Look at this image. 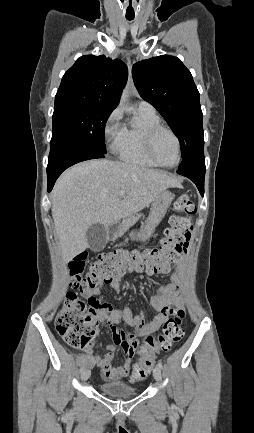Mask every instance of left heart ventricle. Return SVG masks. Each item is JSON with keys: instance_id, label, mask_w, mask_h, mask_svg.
<instances>
[{"instance_id": "1", "label": "left heart ventricle", "mask_w": 254, "mask_h": 433, "mask_svg": "<svg viewBox=\"0 0 254 433\" xmlns=\"http://www.w3.org/2000/svg\"><path fill=\"white\" fill-rule=\"evenodd\" d=\"M154 152L161 163L172 165L178 156L176 141L168 132L161 131L155 138Z\"/></svg>"}]
</instances>
